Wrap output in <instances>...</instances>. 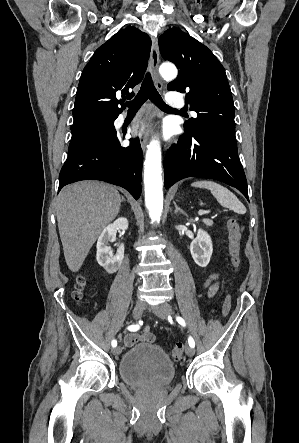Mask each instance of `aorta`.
Returning <instances> with one entry per match:
<instances>
[{
    "mask_svg": "<svg viewBox=\"0 0 299 443\" xmlns=\"http://www.w3.org/2000/svg\"><path fill=\"white\" fill-rule=\"evenodd\" d=\"M161 76L172 80L177 76V69L172 64H162ZM145 205L152 222H159L163 210V181L161 148L157 140L148 146L144 162Z\"/></svg>",
    "mask_w": 299,
    "mask_h": 443,
    "instance_id": "obj_1",
    "label": "aorta"
}]
</instances>
